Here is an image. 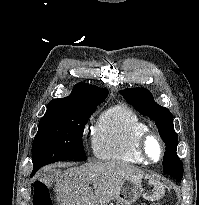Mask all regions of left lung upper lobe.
<instances>
[{"mask_svg": "<svg viewBox=\"0 0 199 205\" xmlns=\"http://www.w3.org/2000/svg\"><path fill=\"white\" fill-rule=\"evenodd\" d=\"M126 101L142 115L155 121L159 134L166 145L163 171L175 177L178 182L183 177V164L177 155L178 136L173 126L171 112L154 101L153 95L145 88H131L119 92Z\"/></svg>", "mask_w": 199, "mask_h": 205, "instance_id": "5c2ea615", "label": "left lung upper lobe"}]
</instances>
